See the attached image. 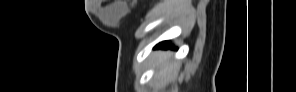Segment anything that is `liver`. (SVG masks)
<instances>
[{
  "label": "liver",
  "instance_id": "1",
  "mask_svg": "<svg viewBox=\"0 0 296 92\" xmlns=\"http://www.w3.org/2000/svg\"><path fill=\"white\" fill-rule=\"evenodd\" d=\"M170 55L160 54L158 62L162 65L160 74L165 75L168 72H171L175 68H179L178 63H171L168 61Z\"/></svg>",
  "mask_w": 296,
  "mask_h": 92
}]
</instances>
